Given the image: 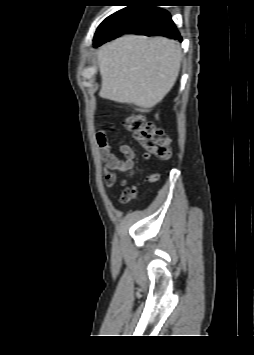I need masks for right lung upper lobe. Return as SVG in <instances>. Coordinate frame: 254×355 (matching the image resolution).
Instances as JSON below:
<instances>
[{"instance_id": "1", "label": "right lung upper lobe", "mask_w": 254, "mask_h": 355, "mask_svg": "<svg viewBox=\"0 0 254 355\" xmlns=\"http://www.w3.org/2000/svg\"><path fill=\"white\" fill-rule=\"evenodd\" d=\"M125 1H128L127 3H132V2L142 1V0H125Z\"/></svg>"}]
</instances>
